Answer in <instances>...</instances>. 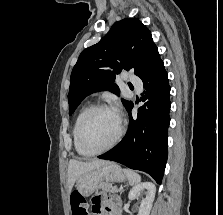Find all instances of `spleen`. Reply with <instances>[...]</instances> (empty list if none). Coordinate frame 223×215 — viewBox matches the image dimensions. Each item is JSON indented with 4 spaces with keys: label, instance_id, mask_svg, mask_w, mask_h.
<instances>
[{
    "label": "spleen",
    "instance_id": "3e777b00",
    "mask_svg": "<svg viewBox=\"0 0 223 215\" xmlns=\"http://www.w3.org/2000/svg\"><path fill=\"white\" fill-rule=\"evenodd\" d=\"M123 171L126 173L130 185H135V183H139V181H141V177L139 173H136V171H131V169H123Z\"/></svg>",
    "mask_w": 223,
    "mask_h": 215
}]
</instances>
